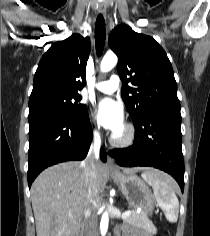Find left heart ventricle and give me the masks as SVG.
<instances>
[{
	"instance_id": "obj_1",
	"label": "left heart ventricle",
	"mask_w": 210,
	"mask_h": 236,
	"mask_svg": "<svg viewBox=\"0 0 210 236\" xmlns=\"http://www.w3.org/2000/svg\"><path fill=\"white\" fill-rule=\"evenodd\" d=\"M125 129L124 127L122 129H120L117 133H115V135L117 137H122L124 135Z\"/></svg>"
}]
</instances>
